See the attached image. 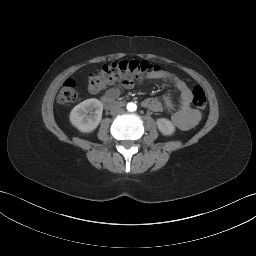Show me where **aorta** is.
<instances>
[{"instance_id":"1","label":"aorta","mask_w":256,"mask_h":256,"mask_svg":"<svg viewBox=\"0 0 256 256\" xmlns=\"http://www.w3.org/2000/svg\"><path fill=\"white\" fill-rule=\"evenodd\" d=\"M136 109H137V106H136L135 103L130 102V103L127 104V110L128 111L133 112V111H136Z\"/></svg>"}]
</instances>
